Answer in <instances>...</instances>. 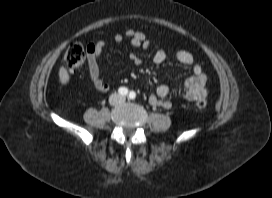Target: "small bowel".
<instances>
[{"label":"small bowel","mask_w":272,"mask_h":198,"mask_svg":"<svg viewBox=\"0 0 272 198\" xmlns=\"http://www.w3.org/2000/svg\"><path fill=\"white\" fill-rule=\"evenodd\" d=\"M124 37L129 38L133 45L144 49H148L151 45L144 33L131 29L126 30L124 34L115 35L114 40L116 42H121ZM104 47L105 41L103 40L89 43L87 46L90 80L95 90L101 93L107 92L110 89L109 83L102 78L99 63L100 55ZM174 56L180 64L189 67L192 70V75L186 79L183 84V95L185 99L188 101H196L199 98H205L207 94V76L202 67L195 62L193 55L188 51L177 50ZM166 60L167 54L162 49L157 50L153 56V62L156 65H162ZM129 61L135 66H138L141 63L140 58L135 54L129 55ZM170 94L171 90L167 85H160L156 89V93L150 96L149 102L155 107L169 110L172 108V102L167 100Z\"/></svg>","instance_id":"c3829d8e"}]
</instances>
